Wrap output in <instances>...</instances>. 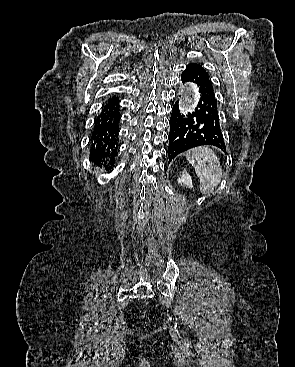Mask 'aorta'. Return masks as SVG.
I'll return each instance as SVG.
<instances>
[{
    "instance_id": "1",
    "label": "aorta",
    "mask_w": 295,
    "mask_h": 367,
    "mask_svg": "<svg viewBox=\"0 0 295 367\" xmlns=\"http://www.w3.org/2000/svg\"><path fill=\"white\" fill-rule=\"evenodd\" d=\"M199 96L200 94L197 86L194 84L188 85L185 90V105L189 108L192 107L198 102Z\"/></svg>"
}]
</instances>
